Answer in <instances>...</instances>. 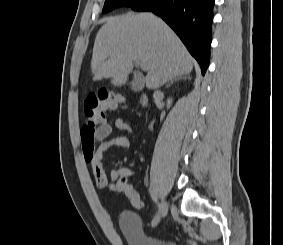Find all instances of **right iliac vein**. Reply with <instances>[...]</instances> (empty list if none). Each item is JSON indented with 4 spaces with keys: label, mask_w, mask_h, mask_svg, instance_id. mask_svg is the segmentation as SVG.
I'll list each match as a JSON object with an SVG mask.
<instances>
[{
    "label": "right iliac vein",
    "mask_w": 283,
    "mask_h": 245,
    "mask_svg": "<svg viewBox=\"0 0 283 245\" xmlns=\"http://www.w3.org/2000/svg\"><path fill=\"white\" fill-rule=\"evenodd\" d=\"M167 210H168V202L163 201L159 207V211L157 217L155 218L154 225H157L161 221V219L165 217Z\"/></svg>",
    "instance_id": "1"
}]
</instances>
